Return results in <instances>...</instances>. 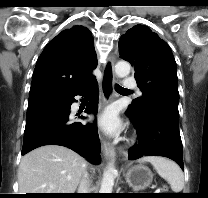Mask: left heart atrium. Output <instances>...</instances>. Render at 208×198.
<instances>
[{
    "label": "left heart atrium",
    "instance_id": "1",
    "mask_svg": "<svg viewBox=\"0 0 208 198\" xmlns=\"http://www.w3.org/2000/svg\"><path fill=\"white\" fill-rule=\"evenodd\" d=\"M99 125L108 134H115L120 129L121 123L114 109L105 110L99 117Z\"/></svg>",
    "mask_w": 208,
    "mask_h": 198
}]
</instances>
